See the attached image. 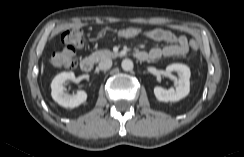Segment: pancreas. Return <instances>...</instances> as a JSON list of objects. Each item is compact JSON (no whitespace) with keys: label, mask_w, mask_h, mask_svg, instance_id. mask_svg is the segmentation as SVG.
<instances>
[{"label":"pancreas","mask_w":244,"mask_h":157,"mask_svg":"<svg viewBox=\"0 0 244 157\" xmlns=\"http://www.w3.org/2000/svg\"><path fill=\"white\" fill-rule=\"evenodd\" d=\"M90 57L96 61H102L104 59H111V58H116L118 57L117 53L111 52L110 50H99L90 55Z\"/></svg>","instance_id":"cf45deb5"}]
</instances>
